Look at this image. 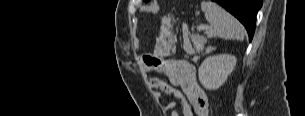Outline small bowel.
<instances>
[{
  "label": "small bowel",
  "instance_id": "obj_1",
  "mask_svg": "<svg viewBox=\"0 0 305 116\" xmlns=\"http://www.w3.org/2000/svg\"><path fill=\"white\" fill-rule=\"evenodd\" d=\"M172 44L161 38L158 40L153 53L140 57L145 70L163 74L168 82L161 78H149V85L155 92H164L180 99L184 116H207L208 98L198 83L196 68L185 60L170 59ZM176 103L171 101L165 109L170 110V116H179L175 108Z\"/></svg>",
  "mask_w": 305,
  "mask_h": 116
}]
</instances>
